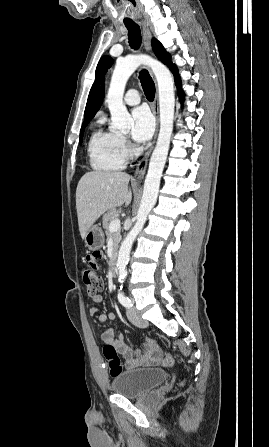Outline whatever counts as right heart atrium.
Masks as SVG:
<instances>
[{
    "mask_svg": "<svg viewBox=\"0 0 269 447\" xmlns=\"http://www.w3.org/2000/svg\"><path fill=\"white\" fill-rule=\"evenodd\" d=\"M121 144L126 155H130L133 152V145L126 136H121Z\"/></svg>",
    "mask_w": 269,
    "mask_h": 447,
    "instance_id": "obj_1",
    "label": "right heart atrium"
}]
</instances>
